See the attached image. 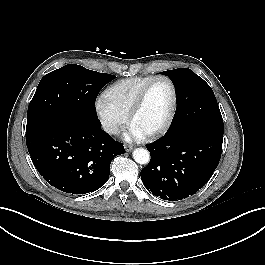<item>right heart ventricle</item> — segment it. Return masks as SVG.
<instances>
[{
    "label": "right heart ventricle",
    "instance_id": "1",
    "mask_svg": "<svg viewBox=\"0 0 265 265\" xmlns=\"http://www.w3.org/2000/svg\"><path fill=\"white\" fill-rule=\"evenodd\" d=\"M153 77L136 76L119 80L105 90L103 98L114 109L128 116L137 95Z\"/></svg>",
    "mask_w": 265,
    "mask_h": 265
}]
</instances>
